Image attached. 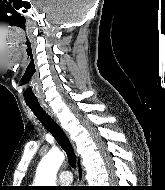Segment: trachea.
Returning <instances> with one entry per match:
<instances>
[{
  "label": "trachea",
  "mask_w": 165,
  "mask_h": 190,
  "mask_svg": "<svg viewBox=\"0 0 165 190\" xmlns=\"http://www.w3.org/2000/svg\"><path fill=\"white\" fill-rule=\"evenodd\" d=\"M42 125L54 136L61 148L66 152L68 163L76 167V156L72 145L60 126L42 109L39 103H27Z\"/></svg>",
  "instance_id": "obj_1"
}]
</instances>
